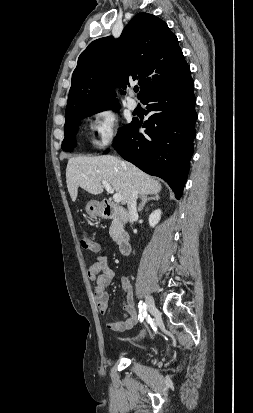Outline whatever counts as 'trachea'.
<instances>
[{"mask_svg":"<svg viewBox=\"0 0 253 413\" xmlns=\"http://www.w3.org/2000/svg\"><path fill=\"white\" fill-rule=\"evenodd\" d=\"M134 91L137 93V92L139 91V88H138V87H135V88H134Z\"/></svg>","mask_w":253,"mask_h":413,"instance_id":"obj_1","label":"trachea"}]
</instances>
